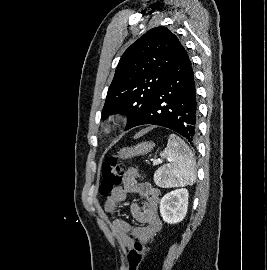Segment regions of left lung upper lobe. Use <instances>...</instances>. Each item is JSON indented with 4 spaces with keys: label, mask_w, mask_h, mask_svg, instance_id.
<instances>
[{
    "label": "left lung upper lobe",
    "mask_w": 267,
    "mask_h": 270,
    "mask_svg": "<svg viewBox=\"0 0 267 270\" xmlns=\"http://www.w3.org/2000/svg\"><path fill=\"white\" fill-rule=\"evenodd\" d=\"M181 43L166 27H155L122 55L102 110L127 115L126 130L134 127L166 79Z\"/></svg>",
    "instance_id": "left-lung-upper-lobe-1"
}]
</instances>
